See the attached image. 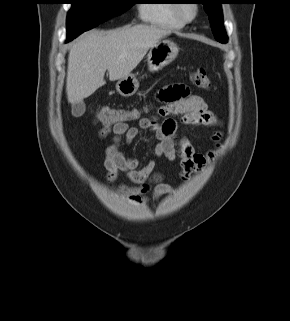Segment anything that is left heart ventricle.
<instances>
[{"mask_svg":"<svg viewBox=\"0 0 290 321\" xmlns=\"http://www.w3.org/2000/svg\"><path fill=\"white\" fill-rule=\"evenodd\" d=\"M184 12L187 16H191L193 14V9L190 6H186Z\"/></svg>","mask_w":290,"mask_h":321,"instance_id":"1","label":"left heart ventricle"}]
</instances>
